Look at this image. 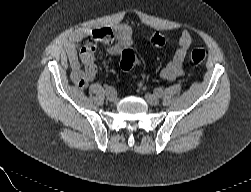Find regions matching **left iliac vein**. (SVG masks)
Returning <instances> with one entry per match:
<instances>
[{
    "mask_svg": "<svg viewBox=\"0 0 251 192\" xmlns=\"http://www.w3.org/2000/svg\"><path fill=\"white\" fill-rule=\"evenodd\" d=\"M145 99L152 106H156L159 103V98L154 94L150 93L145 94Z\"/></svg>",
    "mask_w": 251,
    "mask_h": 192,
    "instance_id": "1",
    "label": "left iliac vein"
}]
</instances>
